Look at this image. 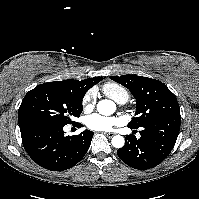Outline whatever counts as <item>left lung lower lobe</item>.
Wrapping results in <instances>:
<instances>
[{
  "label": "left lung lower lobe",
  "instance_id": "obj_1",
  "mask_svg": "<svg viewBox=\"0 0 199 199\" xmlns=\"http://www.w3.org/2000/svg\"><path fill=\"white\" fill-rule=\"evenodd\" d=\"M180 123L181 116L173 115L159 118L143 126L139 139L134 135L126 136L125 145L117 150V155L132 168L138 170L154 168L173 149L179 134Z\"/></svg>",
  "mask_w": 199,
  "mask_h": 199
}]
</instances>
